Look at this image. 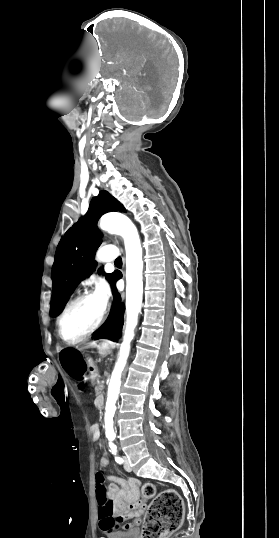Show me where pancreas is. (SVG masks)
<instances>
[{"mask_svg": "<svg viewBox=\"0 0 279 538\" xmlns=\"http://www.w3.org/2000/svg\"><path fill=\"white\" fill-rule=\"evenodd\" d=\"M98 387H95V392L98 397L104 396L105 384L104 381H97Z\"/></svg>", "mask_w": 279, "mask_h": 538, "instance_id": "obj_1", "label": "pancreas"}]
</instances>
